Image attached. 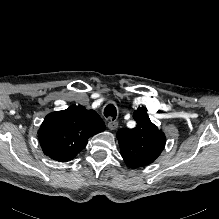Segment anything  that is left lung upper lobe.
<instances>
[{
  "label": "left lung upper lobe",
  "instance_id": "1",
  "mask_svg": "<svg viewBox=\"0 0 219 219\" xmlns=\"http://www.w3.org/2000/svg\"><path fill=\"white\" fill-rule=\"evenodd\" d=\"M146 110L138 108L133 113L137 122L135 128H123L117 132L120 153L130 168L151 164L165 147L164 133L151 122Z\"/></svg>",
  "mask_w": 219,
  "mask_h": 219
}]
</instances>
